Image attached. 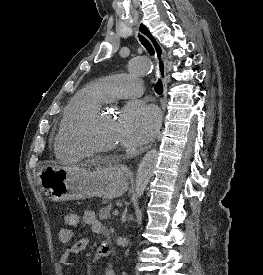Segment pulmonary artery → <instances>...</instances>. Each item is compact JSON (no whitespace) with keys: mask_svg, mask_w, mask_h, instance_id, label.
I'll list each match as a JSON object with an SVG mask.
<instances>
[{"mask_svg":"<svg viewBox=\"0 0 263 275\" xmlns=\"http://www.w3.org/2000/svg\"><path fill=\"white\" fill-rule=\"evenodd\" d=\"M107 101L117 98H135L144 93L142 82L134 75L116 74L98 82Z\"/></svg>","mask_w":263,"mask_h":275,"instance_id":"obj_1","label":"pulmonary artery"}]
</instances>
